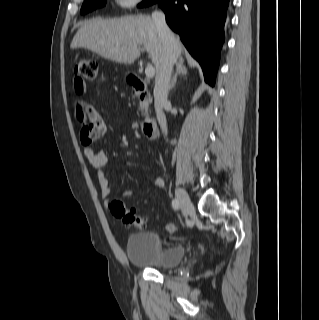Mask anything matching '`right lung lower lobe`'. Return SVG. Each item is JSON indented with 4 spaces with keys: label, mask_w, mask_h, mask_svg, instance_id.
I'll return each instance as SVG.
<instances>
[{
    "label": "right lung lower lobe",
    "mask_w": 319,
    "mask_h": 320,
    "mask_svg": "<svg viewBox=\"0 0 319 320\" xmlns=\"http://www.w3.org/2000/svg\"><path fill=\"white\" fill-rule=\"evenodd\" d=\"M154 3L165 12L168 25L180 35L200 63L205 80L213 85L229 0H154L151 4Z\"/></svg>",
    "instance_id": "1"
}]
</instances>
